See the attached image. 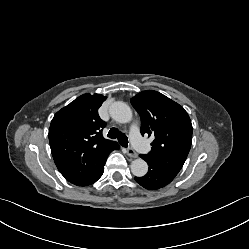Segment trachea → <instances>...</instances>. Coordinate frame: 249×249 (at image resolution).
Wrapping results in <instances>:
<instances>
[{
	"instance_id": "3493384b",
	"label": "trachea",
	"mask_w": 249,
	"mask_h": 249,
	"mask_svg": "<svg viewBox=\"0 0 249 249\" xmlns=\"http://www.w3.org/2000/svg\"><path fill=\"white\" fill-rule=\"evenodd\" d=\"M108 137L111 139H118V142L120 143L121 146L127 147L128 146V138L127 136L120 132L119 129L113 127L109 130L108 132Z\"/></svg>"
}]
</instances>
